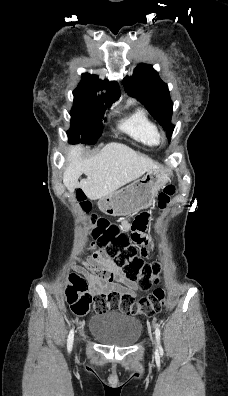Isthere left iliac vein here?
Returning a JSON list of instances; mask_svg holds the SVG:
<instances>
[{
	"label": "left iliac vein",
	"instance_id": "1",
	"mask_svg": "<svg viewBox=\"0 0 228 396\" xmlns=\"http://www.w3.org/2000/svg\"><path fill=\"white\" fill-rule=\"evenodd\" d=\"M151 342H152L153 345H155V339H154L153 336H151Z\"/></svg>",
	"mask_w": 228,
	"mask_h": 396
}]
</instances>
